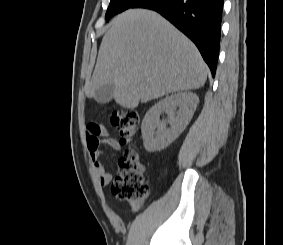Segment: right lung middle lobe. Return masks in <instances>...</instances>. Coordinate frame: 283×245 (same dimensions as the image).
Segmentation results:
<instances>
[{
  "mask_svg": "<svg viewBox=\"0 0 283 245\" xmlns=\"http://www.w3.org/2000/svg\"><path fill=\"white\" fill-rule=\"evenodd\" d=\"M139 1L140 0H110V4L105 15L106 21H109L112 16L133 7Z\"/></svg>",
  "mask_w": 283,
  "mask_h": 245,
  "instance_id": "1",
  "label": "right lung middle lobe"
}]
</instances>
